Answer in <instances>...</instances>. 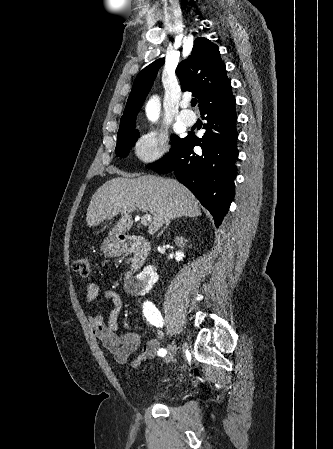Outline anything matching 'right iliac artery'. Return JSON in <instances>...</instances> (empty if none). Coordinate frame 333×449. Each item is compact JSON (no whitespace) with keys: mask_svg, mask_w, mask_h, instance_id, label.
Masks as SVG:
<instances>
[{"mask_svg":"<svg viewBox=\"0 0 333 449\" xmlns=\"http://www.w3.org/2000/svg\"><path fill=\"white\" fill-rule=\"evenodd\" d=\"M143 308H144V315L146 317V319L154 326L156 327H162L163 325V319L162 316L160 314V312L158 311V309L155 307V305H153L152 302H145L143 304ZM167 353V351L163 348L158 350V355L159 356H164Z\"/></svg>","mask_w":333,"mask_h":449,"instance_id":"1","label":"right iliac artery"}]
</instances>
